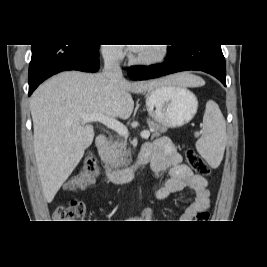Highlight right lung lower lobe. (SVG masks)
Listing matches in <instances>:
<instances>
[{"label": "right lung lower lobe", "instance_id": "right-lung-lower-lobe-1", "mask_svg": "<svg viewBox=\"0 0 267 267\" xmlns=\"http://www.w3.org/2000/svg\"><path fill=\"white\" fill-rule=\"evenodd\" d=\"M99 47L93 45H32L29 93L50 76L66 70L96 72L100 67Z\"/></svg>", "mask_w": 267, "mask_h": 267}]
</instances>
